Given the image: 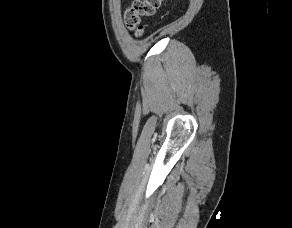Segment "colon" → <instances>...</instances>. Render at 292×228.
<instances>
[{
  "label": "colon",
  "instance_id": "obj_1",
  "mask_svg": "<svg viewBox=\"0 0 292 228\" xmlns=\"http://www.w3.org/2000/svg\"><path fill=\"white\" fill-rule=\"evenodd\" d=\"M162 0H134L132 5L124 13V21L128 29L136 36L144 33L141 23L143 17L153 16L160 7Z\"/></svg>",
  "mask_w": 292,
  "mask_h": 228
}]
</instances>
